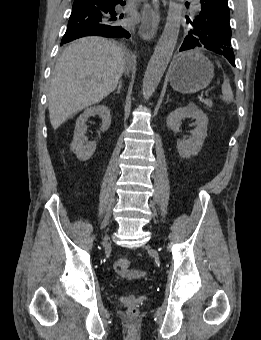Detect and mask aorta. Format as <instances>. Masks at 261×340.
Masks as SVG:
<instances>
[{"mask_svg":"<svg viewBox=\"0 0 261 340\" xmlns=\"http://www.w3.org/2000/svg\"><path fill=\"white\" fill-rule=\"evenodd\" d=\"M182 2L183 0H170L169 2L164 30L143 78L142 91L145 100H148L157 88L172 57L180 31V20L183 10Z\"/></svg>","mask_w":261,"mask_h":340,"instance_id":"762f6f07","label":"aorta"}]
</instances>
